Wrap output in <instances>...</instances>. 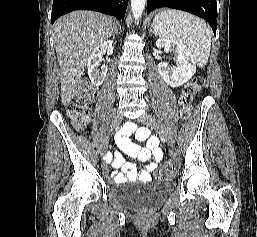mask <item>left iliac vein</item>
Wrapping results in <instances>:
<instances>
[{
	"instance_id": "left-iliac-vein-1",
	"label": "left iliac vein",
	"mask_w": 257,
	"mask_h": 237,
	"mask_svg": "<svg viewBox=\"0 0 257 237\" xmlns=\"http://www.w3.org/2000/svg\"><path fill=\"white\" fill-rule=\"evenodd\" d=\"M138 121L146 126L154 128L169 147H174L175 142L173 136L159 120L148 113H144Z\"/></svg>"
}]
</instances>
